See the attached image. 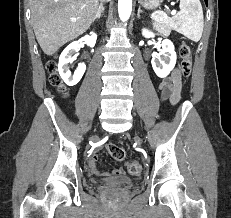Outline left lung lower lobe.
<instances>
[{
  "instance_id": "1",
  "label": "left lung lower lobe",
  "mask_w": 231,
  "mask_h": 218,
  "mask_svg": "<svg viewBox=\"0 0 231 218\" xmlns=\"http://www.w3.org/2000/svg\"><path fill=\"white\" fill-rule=\"evenodd\" d=\"M208 0H205V3L207 4Z\"/></svg>"
}]
</instances>
